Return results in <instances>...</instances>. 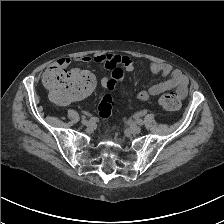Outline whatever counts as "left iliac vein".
Here are the masks:
<instances>
[{"instance_id":"left-iliac-vein-1","label":"left iliac vein","mask_w":224,"mask_h":224,"mask_svg":"<svg viewBox=\"0 0 224 224\" xmlns=\"http://www.w3.org/2000/svg\"><path fill=\"white\" fill-rule=\"evenodd\" d=\"M129 132L132 133V134H139L141 132V128L137 125H132L129 128Z\"/></svg>"}]
</instances>
